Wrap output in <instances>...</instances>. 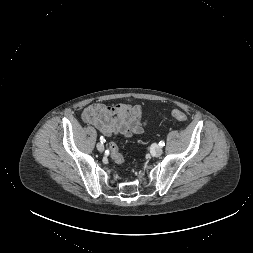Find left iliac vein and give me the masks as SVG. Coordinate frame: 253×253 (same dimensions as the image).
Returning <instances> with one entry per match:
<instances>
[{"instance_id":"1","label":"left iliac vein","mask_w":253,"mask_h":253,"mask_svg":"<svg viewBox=\"0 0 253 253\" xmlns=\"http://www.w3.org/2000/svg\"><path fill=\"white\" fill-rule=\"evenodd\" d=\"M162 153H163L162 147H161V146H158V147L154 150L153 155H154L155 157H159Z\"/></svg>"}]
</instances>
